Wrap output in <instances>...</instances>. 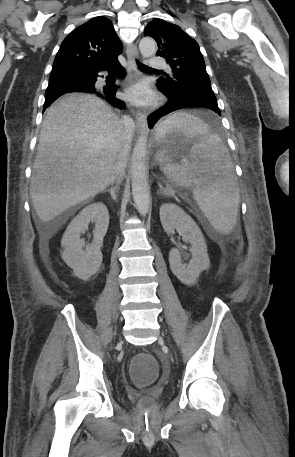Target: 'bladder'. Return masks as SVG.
Segmentation results:
<instances>
[{
    "label": "bladder",
    "mask_w": 295,
    "mask_h": 457,
    "mask_svg": "<svg viewBox=\"0 0 295 457\" xmlns=\"http://www.w3.org/2000/svg\"><path fill=\"white\" fill-rule=\"evenodd\" d=\"M158 359L160 361H165L167 359V354L165 352H160L158 354ZM168 372L170 371L169 369L167 370ZM160 380L162 382H166L168 380V377L166 375H162L160 377ZM160 399L154 396H143L137 403V410L138 411H155L156 410V405H158Z\"/></svg>",
    "instance_id": "1"
}]
</instances>
